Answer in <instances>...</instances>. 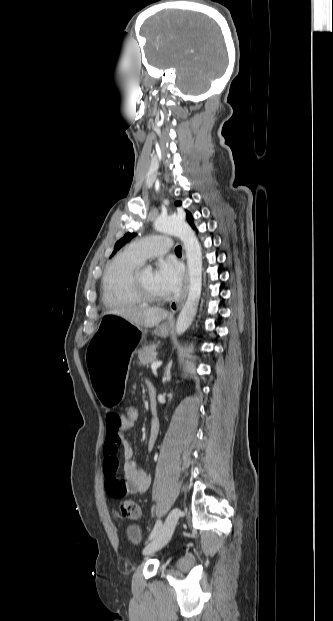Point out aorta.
<instances>
[{"instance_id":"obj_1","label":"aorta","mask_w":333,"mask_h":621,"mask_svg":"<svg viewBox=\"0 0 333 621\" xmlns=\"http://www.w3.org/2000/svg\"><path fill=\"white\" fill-rule=\"evenodd\" d=\"M154 228L159 232L178 237L186 251L189 293L176 322V333L182 335L191 325L198 309L202 290V249L192 228L180 218L158 217L154 222ZM147 269L151 270V267Z\"/></svg>"}]
</instances>
